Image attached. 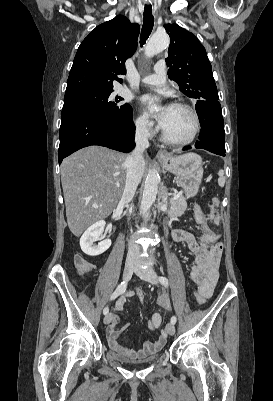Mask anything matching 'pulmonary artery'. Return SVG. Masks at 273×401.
<instances>
[{"label": "pulmonary artery", "mask_w": 273, "mask_h": 401, "mask_svg": "<svg viewBox=\"0 0 273 401\" xmlns=\"http://www.w3.org/2000/svg\"><path fill=\"white\" fill-rule=\"evenodd\" d=\"M154 69L155 74H151L148 77H143V80H148L151 83L166 82L167 77L164 75V72L166 71L167 66L165 63H163V60H160V63H156ZM137 86H145V83H137Z\"/></svg>", "instance_id": "1"}]
</instances>
